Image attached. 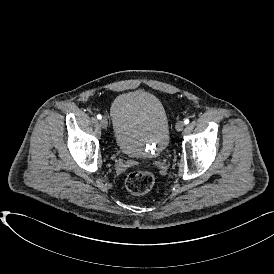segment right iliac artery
<instances>
[{
    "instance_id": "right-iliac-artery-1",
    "label": "right iliac artery",
    "mask_w": 274,
    "mask_h": 274,
    "mask_svg": "<svg viewBox=\"0 0 274 274\" xmlns=\"http://www.w3.org/2000/svg\"><path fill=\"white\" fill-rule=\"evenodd\" d=\"M97 118L100 120L102 118V116L100 114H98Z\"/></svg>"
}]
</instances>
